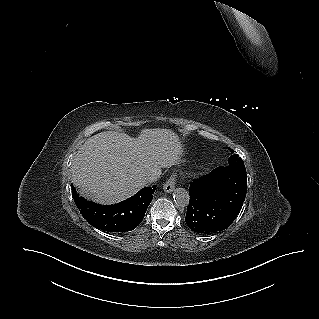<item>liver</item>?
Wrapping results in <instances>:
<instances>
[{
  "mask_svg": "<svg viewBox=\"0 0 319 319\" xmlns=\"http://www.w3.org/2000/svg\"><path fill=\"white\" fill-rule=\"evenodd\" d=\"M179 137L169 129H143L138 138L105 131L88 138L75 155L72 182L81 195L102 204L129 198L149 173L177 164Z\"/></svg>",
  "mask_w": 319,
  "mask_h": 319,
  "instance_id": "liver-1",
  "label": "liver"
}]
</instances>
